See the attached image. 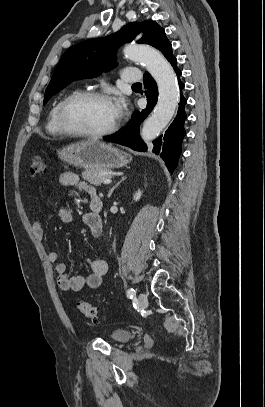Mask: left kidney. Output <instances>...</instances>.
Returning a JSON list of instances; mask_svg holds the SVG:
<instances>
[{"mask_svg": "<svg viewBox=\"0 0 265 407\" xmlns=\"http://www.w3.org/2000/svg\"><path fill=\"white\" fill-rule=\"evenodd\" d=\"M141 197V191L136 192V194L134 195V200L138 201Z\"/></svg>", "mask_w": 265, "mask_h": 407, "instance_id": "5707ae66", "label": "left kidney"}]
</instances>
